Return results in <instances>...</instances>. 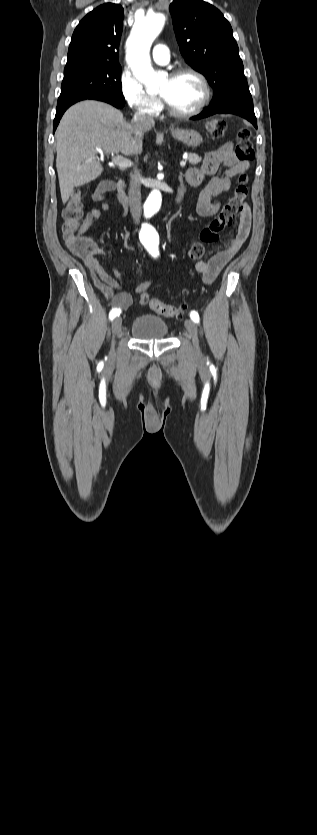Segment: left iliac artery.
<instances>
[{"instance_id": "44dca946", "label": "left iliac artery", "mask_w": 317, "mask_h": 835, "mask_svg": "<svg viewBox=\"0 0 317 835\" xmlns=\"http://www.w3.org/2000/svg\"><path fill=\"white\" fill-rule=\"evenodd\" d=\"M190 318H191V319H192L195 323H199V319H200V318H199V314H198V312H197V311L192 310V311L190 312Z\"/></svg>"}]
</instances>
